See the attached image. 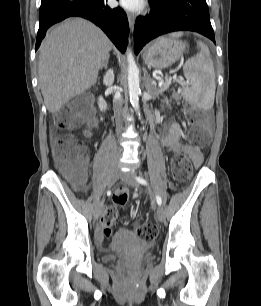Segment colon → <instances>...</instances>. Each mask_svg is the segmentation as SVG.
I'll return each mask as SVG.
<instances>
[{
	"label": "colon",
	"mask_w": 261,
	"mask_h": 306,
	"mask_svg": "<svg viewBox=\"0 0 261 306\" xmlns=\"http://www.w3.org/2000/svg\"><path fill=\"white\" fill-rule=\"evenodd\" d=\"M91 121L92 109L90 97L87 95L75 99L63 108L56 119V127L64 131V135L55 141L54 158L66 177L76 185H82L85 182L86 169L83 144L72 135V131L83 123ZM190 123L189 140L191 143L198 148L207 147L211 141L207 119L199 112L192 111ZM171 171L177 182L187 181L193 171L190 157L182 151L175 153L171 159ZM127 199L128 195L124 190L114 193L112 204L105 210L101 219L103 234L106 238H109L112 233V227L118 215V207L123 206ZM136 231L138 237L147 242L155 240L158 235V229L152 223L141 224Z\"/></svg>",
	"instance_id": "5ec220e1"
}]
</instances>
